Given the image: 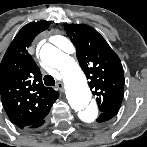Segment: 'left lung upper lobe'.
<instances>
[{
  "mask_svg": "<svg viewBox=\"0 0 147 147\" xmlns=\"http://www.w3.org/2000/svg\"><path fill=\"white\" fill-rule=\"evenodd\" d=\"M65 30L76 47L79 64L89 80L100 112L118 111L124 95V72L117 54L88 25L68 24Z\"/></svg>",
  "mask_w": 147,
  "mask_h": 147,
  "instance_id": "left-lung-upper-lobe-1",
  "label": "left lung upper lobe"
}]
</instances>
